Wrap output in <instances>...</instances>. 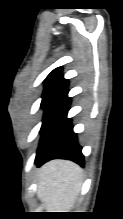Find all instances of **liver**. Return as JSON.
Wrapping results in <instances>:
<instances>
[{"label": "liver", "mask_w": 123, "mask_h": 219, "mask_svg": "<svg viewBox=\"0 0 123 219\" xmlns=\"http://www.w3.org/2000/svg\"><path fill=\"white\" fill-rule=\"evenodd\" d=\"M83 182L80 166L67 160H52L38 174V198L49 212H64L76 203Z\"/></svg>", "instance_id": "6515ba94"}]
</instances>
